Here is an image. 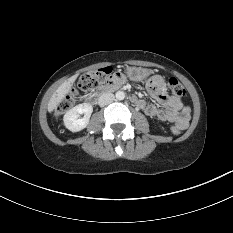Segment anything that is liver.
Returning a JSON list of instances; mask_svg holds the SVG:
<instances>
[{"label":"liver","mask_w":233,"mask_h":233,"mask_svg":"<svg viewBox=\"0 0 233 233\" xmlns=\"http://www.w3.org/2000/svg\"><path fill=\"white\" fill-rule=\"evenodd\" d=\"M77 77V74L71 76L56 89L48 102V112H52L62 102L65 95L70 92L71 87L73 86Z\"/></svg>","instance_id":"obj_1"}]
</instances>
